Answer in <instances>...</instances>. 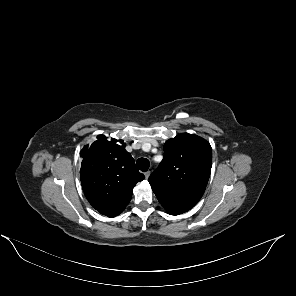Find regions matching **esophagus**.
<instances>
[{"label":"esophagus","instance_id":"esophagus-1","mask_svg":"<svg viewBox=\"0 0 296 296\" xmlns=\"http://www.w3.org/2000/svg\"><path fill=\"white\" fill-rule=\"evenodd\" d=\"M144 175H145V178H146V179H148V178H149V176H150V171H147V172H145V174H144Z\"/></svg>","mask_w":296,"mask_h":296}]
</instances>
